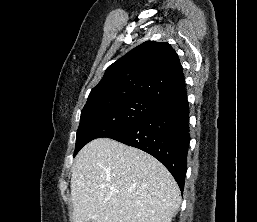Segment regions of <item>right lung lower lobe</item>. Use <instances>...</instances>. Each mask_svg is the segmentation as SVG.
<instances>
[{
	"label": "right lung lower lobe",
	"mask_w": 257,
	"mask_h": 222,
	"mask_svg": "<svg viewBox=\"0 0 257 222\" xmlns=\"http://www.w3.org/2000/svg\"><path fill=\"white\" fill-rule=\"evenodd\" d=\"M186 94L159 104L133 125L108 137L141 149L158 159L173 175L181 191L190 141Z\"/></svg>",
	"instance_id": "obj_1"
}]
</instances>
